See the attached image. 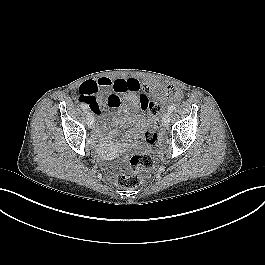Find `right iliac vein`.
Wrapping results in <instances>:
<instances>
[{"instance_id":"obj_1","label":"right iliac vein","mask_w":265,"mask_h":265,"mask_svg":"<svg viewBox=\"0 0 265 265\" xmlns=\"http://www.w3.org/2000/svg\"><path fill=\"white\" fill-rule=\"evenodd\" d=\"M87 125H88V128H93V126H94V117H93V115H92V113H88L87 114Z\"/></svg>"}]
</instances>
